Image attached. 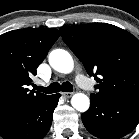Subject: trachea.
Masks as SVG:
<instances>
[{"mask_svg":"<svg viewBox=\"0 0 139 139\" xmlns=\"http://www.w3.org/2000/svg\"><path fill=\"white\" fill-rule=\"evenodd\" d=\"M37 90L39 92H44L46 94L56 93L61 90L64 92H72L73 86L69 82H64L61 85L57 82H54V83H51L48 87H37Z\"/></svg>","mask_w":139,"mask_h":139,"instance_id":"1","label":"trachea"}]
</instances>
